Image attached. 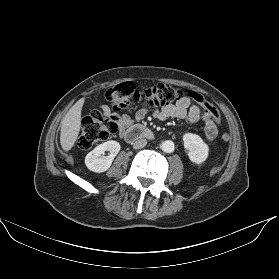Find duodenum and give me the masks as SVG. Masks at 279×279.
I'll use <instances>...</instances> for the list:
<instances>
[{
	"label": "duodenum",
	"mask_w": 279,
	"mask_h": 279,
	"mask_svg": "<svg viewBox=\"0 0 279 279\" xmlns=\"http://www.w3.org/2000/svg\"><path fill=\"white\" fill-rule=\"evenodd\" d=\"M122 136L127 142H133L139 139L153 140L155 138V134L152 130L141 125H134L125 130L122 132Z\"/></svg>",
	"instance_id": "duodenum-1"
}]
</instances>
